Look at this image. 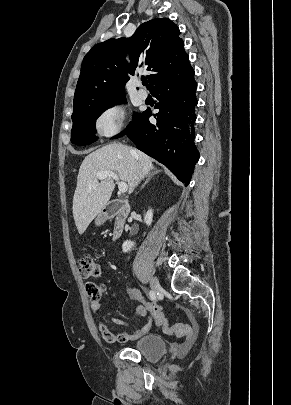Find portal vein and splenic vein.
Wrapping results in <instances>:
<instances>
[{"label":"portal vein and splenic vein","mask_w":291,"mask_h":405,"mask_svg":"<svg viewBox=\"0 0 291 405\" xmlns=\"http://www.w3.org/2000/svg\"><path fill=\"white\" fill-rule=\"evenodd\" d=\"M97 178L99 180H104L106 178H112L117 181L119 192L125 193L128 190V185L126 182H120L119 177L115 172L112 171H104L97 174Z\"/></svg>","instance_id":"18ae733b"}]
</instances>
